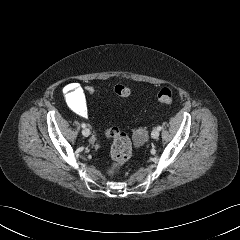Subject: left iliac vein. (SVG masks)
<instances>
[{"mask_svg": "<svg viewBox=\"0 0 240 240\" xmlns=\"http://www.w3.org/2000/svg\"><path fill=\"white\" fill-rule=\"evenodd\" d=\"M151 137H152L153 139H157V138L159 137V130L154 129V130L152 131V133H151Z\"/></svg>", "mask_w": 240, "mask_h": 240, "instance_id": "obj_1", "label": "left iliac vein"}]
</instances>
